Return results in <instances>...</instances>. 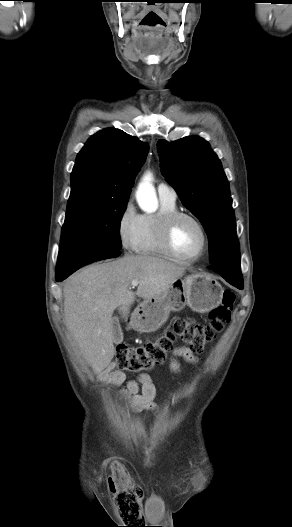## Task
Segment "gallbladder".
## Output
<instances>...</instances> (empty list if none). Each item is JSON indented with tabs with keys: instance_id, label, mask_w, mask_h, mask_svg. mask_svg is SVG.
<instances>
[{
	"instance_id": "bac80fb5",
	"label": "gallbladder",
	"mask_w": 292,
	"mask_h": 527,
	"mask_svg": "<svg viewBox=\"0 0 292 527\" xmlns=\"http://www.w3.org/2000/svg\"><path fill=\"white\" fill-rule=\"evenodd\" d=\"M112 336L115 344H120L123 341V333L117 317L112 318Z\"/></svg>"
}]
</instances>
